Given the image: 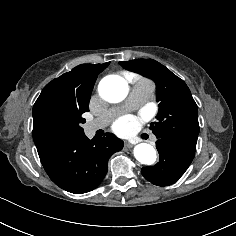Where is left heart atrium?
Here are the masks:
<instances>
[{"mask_svg": "<svg viewBox=\"0 0 236 236\" xmlns=\"http://www.w3.org/2000/svg\"><path fill=\"white\" fill-rule=\"evenodd\" d=\"M137 127V120L134 116L125 115L117 119L113 124V130L121 135H129Z\"/></svg>", "mask_w": 236, "mask_h": 236, "instance_id": "1", "label": "left heart atrium"}]
</instances>
